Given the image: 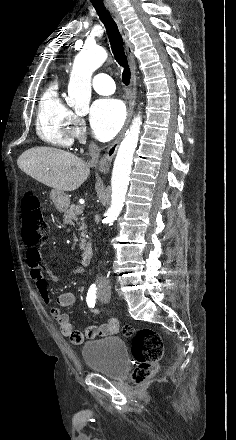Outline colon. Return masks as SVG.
Masks as SVG:
<instances>
[{
    "label": "colon",
    "instance_id": "5ec220e1",
    "mask_svg": "<svg viewBox=\"0 0 236 440\" xmlns=\"http://www.w3.org/2000/svg\"><path fill=\"white\" fill-rule=\"evenodd\" d=\"M21 216L24 242L27 245H36L48 234L49 227L41 211L40 201L35 194L27 193L24 195ZM123 333L132 336L131 349L133 357L137 361L133 380L139 383L157 371L163 353V344L160 336L153 329L144 328L135 331L131 326H126Z\"/></svg>",
    "mask_w": 236,
    "mask_h": 440
}]
</instances>
